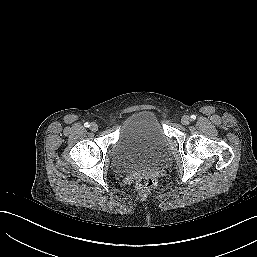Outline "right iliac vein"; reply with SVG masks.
I'll use <instances>...</instances> for the list:
<instances>
[{"mask_svg":"<svg viewBox=\"0 0 257 257\" xmlns=\"http://www.w3.org/2000/svg\"><path fill=\"white\" fill-rule=\"evenodd\" d=\"M90 129H91V131L96 132L98 130L97 123H95V122L91 123L90 124Z\"/></svg>","mask_w":257,"mask_h":257,"instance_id":"1","label":"right iliac vein"}]
</instances>
